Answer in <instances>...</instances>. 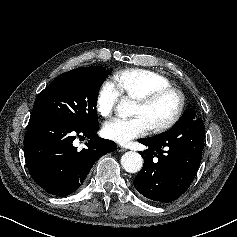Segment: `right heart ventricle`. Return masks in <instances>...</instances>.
Returning a JSON list of instances; mask_svg holds the SVG:
<instances>
[{
	"label": "right heart ventricle",
	"mask_w": 237,
	"mask_h": 237,
	"mask_svg": "<svg viewBox=\"0 0 237 237\" xmlns=\"http://www.w3.org/2000/svg\"><path fill=\"white\" fill-rule=\"evenodd\" d=\"M114 82L121 93L131 99H137L155 89L172 85L164 75L145 69L119 71L114 75Z\"/></svg>",
	"instance_id": "e07e8e85"
}]
</instances>
